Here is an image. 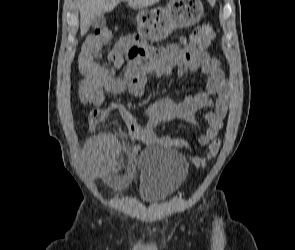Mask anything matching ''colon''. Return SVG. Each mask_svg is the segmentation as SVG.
Listing matches in <instances>:
<instances>
[{
	"instance_id": "1",
	"label": "colon",
	"mask_w": 295,
	"mask_h": 250,
	"mask_svg": "<svg viewBox=\"0 0 295 250\" xmlns=\"http://www.w3.org/2000/svg\"><path fill=\"white\" fill-rule=\"evenodd\" d=\"M112 33L109 29L102 28L93 32L84 42L79 54V67L81 72L90 73L94 70L96 57L101 49L111 40ZM215 38L214 25L206 22L196 27L190 41L194 44L205 47ZM110 112L107 109H93L88 114V123L91 129L95 130L101 123L105 122ZM220 149V140L211 141L207 153L203 158H194V163L205 166L206 162L215 158Z\"/></svg>"
}]
</instances>
